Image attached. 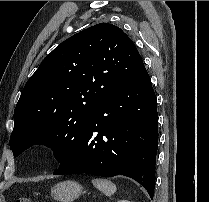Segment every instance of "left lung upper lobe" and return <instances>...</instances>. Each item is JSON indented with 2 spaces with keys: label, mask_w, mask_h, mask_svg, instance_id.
<instances>
[{
  "label": "left lung upper lobe",
  "mask_w": 209,
  "mask_h": 202,
  "mask_svg": "<svg viewBox=\"0 0 209 202\" xmlns=\"http://www.w3.org/2000/svg\"><path fill=\"white\" fill-rule=\"evenodd\" d=\"M143 69L135 44L112 24L94 25L62 42L21 93L10 137L14 157L44 144L62 166L83 137L91 111Z\"/></svg>",
  "instance_id": "5c2ea615"
}]
</instances>
